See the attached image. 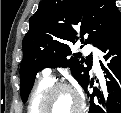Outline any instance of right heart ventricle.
Returning a JSON list of instances; mask_svg holds the SVG:
<instances>
[{
	"instance_id": "1",
	"label": "right heart ventricle",
	"mask_w": 121,
	"mask_h": 113,
	"mask_svg": "<svg viewBox=\"0 0 121 113\" xmlns=\"http://www.w3.org/2000/svg\"><path fill=\"white\" fill-rule=\"evenodd\" d=\"M51 84L50 77H44L36 86L31 101L29 109H39L40 101L43 95L44 90Z\"/></svg>"
}]
</instances>
